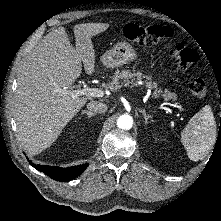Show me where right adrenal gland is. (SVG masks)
<instances>
[{"mask_svg": "<svg viewBox=\"0 0 221 221\" xmlns=\"http://www.w3.org/2000/svg\"><path fill=\"white\" fill-rule=\"evenodd\" d=\"M82 114H87V115H88V118H90V117L96 115L95 113H92V112L87 111V110H83V111H82Z\"/></svg>", "mask_w": 221, "mask_h": 221, "instance_id": "1", "label": "right adrenal gland"}]
</instances>
